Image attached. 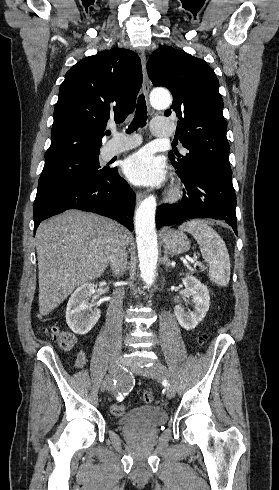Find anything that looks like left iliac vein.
Returning a JSON list of instances; mask_svg holds the SVG:
<instances>
[{
    "label": "left iliac vein",
    "mask_w": 279,
    "mask_h": 490,
    "mask_svg": "<svg viewBox=\"0 0 279 490\" xmlns=\"http://www.w3.org/2000/svg\"><path fill=\"white\" fill-rule=\"evenodd\" d=\"M150 363L153 365L149 368V372L157 376L160 380H166L169 383L166 396L168 399H172L175 395V388L171 372L157 358L151 359Z\"/></svg>",
    "instance_id": "4c4485c4"
}]
</instances>
